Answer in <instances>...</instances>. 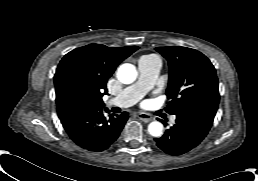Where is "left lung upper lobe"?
Returning <instances> with one entry per match:
<instances>
[{"label": "left lung upper lobe", "instance_id": "5c2ea615", "mask_svg": "<svg viewBox=\"0 0 258 181\" xmlns=\"http://www.w3.org/2000/svg\"><path fill=\"white\" fill-rule=\"evenodd\" d=\"M169 64L167 112H202L215 115L219 104L218 79L210 60L187 47H157Z\"/></svg>", "mask_w": 258, "mask_h": 181}]
</instances>
